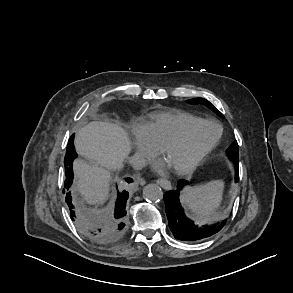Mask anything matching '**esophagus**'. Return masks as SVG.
<instances>
[{"mask_svg":"<svg viewBox=\"0 0 293 293\" xmlns=\"http://www.w3.org/2000/svg\"><path fill=\"white\" fill-rule=\"evenodd\" d=\"M136 179H137L138 183H140L141 185L145 184V180L143 178L136 176ZM156 182L163 187L170 185V182L165 179H158V180H156Z\"/></svg>","mask_w":293,"mask_h":293,"instance_id":"34e87169","label":"esophagus"}]
</instances>
